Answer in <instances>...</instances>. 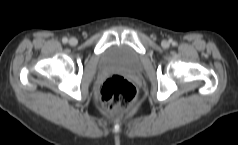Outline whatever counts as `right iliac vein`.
I'll use <instances>...</instances> for the list:
<instances>
[{
    "label": "right iliac vein",
    "instance_id": "63e3f726",
    "mask_svg": "<svg viewBox=\"0 0 238 145\" xmlns=\"http://www.w3.org/2000/svg\"><path fill=\"white\" fill-rule=\"evenodd\" d=\"M77 42H78L77 39L74 38V37L70 38V40H69V44L72 45V46H75L77 44Z\"/></svg>",
    "mask_w": 238,
    "mask_h": 145
}]
</instances>
